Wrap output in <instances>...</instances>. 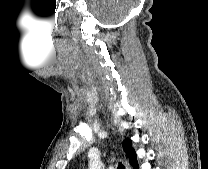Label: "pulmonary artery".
Here are the masks:
<instances>
[{"mask_svg": "<svg viewBox=\"0 0 208 169\" xmlns=\"http://www.w3.org/2000/svg\"><path fill=\"white\" fill-rule=\"evenodd\" d=\"M108 169H114L113 167H109Z\"/></svg>", "mask_w": 208, "mask_h": 169, "instance_id": "obj_1", "label": "pulmonary artery"}]
</instances>
